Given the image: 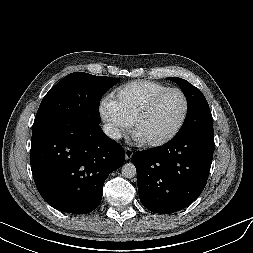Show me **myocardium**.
Instances as JSON below:
<instances>
[{
    "label": "myocardium",
    "instance_id": "1",
    "mask_svg": "<svg viewBox=\"0 0 253 253\" xmlns=\"http://www.w3.org/2000/svg\"><path fill=\"white\" fill-rule=\"evenodd\" d=\"M171 92H177L179 93L182 98H183V102H184V110L182 113V116L178 122V124L176 125V127L166 136L158 138V139H153V140H144L143 143L147 146L150 147H159V146H163L167 143H169L170 141H172L182 130L183 126L185 125V122L187 120L188 117V113H189V101L188 98L185 94V92L179 88L176 87H169L163 91L158 92L157 94H155L144 106V108L141 110V112L139 113V115L137 116V118L135 119L134 123H133V132L136 135L137 131L140 127V125L144 122V120L147 118V116L151 113L152 109L154 108V106L157 104V102L166 94L171 93Z\"/></svg>",
    "mask_w": 253,
    "mask_h": 253
}]
</instances>
